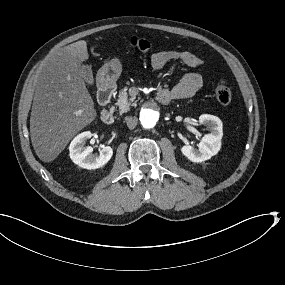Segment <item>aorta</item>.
<instances>
[{"label":"aorta","mask_w":285,"mask_h":285,"mask_svg":"<svg viewBox=\"0 0 285 285\" xmlns=\"http://www.w3.org/2000/svg\"><path fill=\"white\" fill-rule=\"evenodd\" d=\"M138 116L141 127L147 132H158L165 125V111L157 101L144 102L139 108Z\"/></svg>","instance_id":"762f6f07"}]
</instances>
